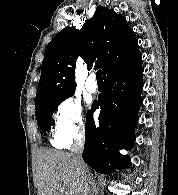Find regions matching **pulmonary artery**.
Instances as JSON below:
<instances>
[{
  "label": "pulmonary artery",
  "mask_w": 178,
  "mask_h": 195,
  "mask_svg": "<svg viewBox=\"0 0 178 195\" xmlns=\"http://www.w3.org/2000/svg\"><path fill=\"white\" fill-rule=\"evenodd\" d=\"M98 89L97 82H96V75L91 73L86 81V90L89 93H96Z\"/></svg>",
  "instance_id": "pulmonary-artery-1"
}]
</instances>
